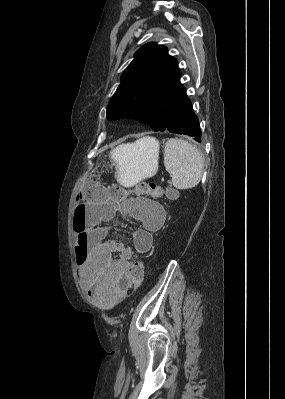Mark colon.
<instances>
[{
    "instance_id": "5ec220e1",
    "label": "colon",
    "mask_w": 285,
    "mask_h": 399,
    "mask_svg": "<svg viewBox=\"0 0 285 399\" xmlns=\"http://www.w3.org/2000/svg\"><path fill=\"white\" fill-rule=\"evenodd\" d=\"M82 189L86 192H94L96 196L102 194L99 181L95 177L87 178L82 184ZM130 194L137 196H146L153 199H158L166 195L170 199L177 196V192L172 188L165 189L163 186L150 183H140L133 189L123 188L119 185H112L106 191V195L111 200H123ZM131 280L134 284H140L144 278V268L140 261L133 263L130 270Z\"/></svg>"
}]
</instances>
